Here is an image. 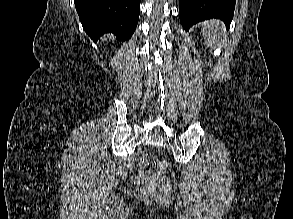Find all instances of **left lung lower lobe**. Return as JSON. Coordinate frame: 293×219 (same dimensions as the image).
Listing matches in <instances>:
<instances>
[{"label":"left lung lower lobe","instance_id":"left-lung-lower-lobe-1","mask_svg":"<svg viewBox=\"0 0 293 219\" xmlns=\"http://www.w3.org/2000/svg\"><path fill=\"white\" fill-rule=\"evenodd\" d=\"M236 0H180L179 17L188 30L194 24L207 19H221L229 27Z\"/></svg>","mask_w":293,"mask_h":219}]
</instances>
